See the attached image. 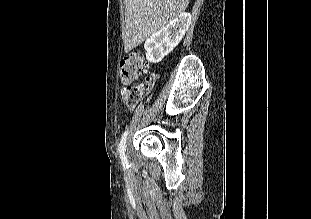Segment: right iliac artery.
I'll list each match as a JSON object with an SVG mask.
<instances>
[{"instance_id":"obj_1","label":"right iliac artery","mask_w":311,"mask_h":219,"mask_svg":"<svg viewBox=\"0 0 311 219\" xmlns=\"http://www.w3.org/2000/svg\"><path fill=\"white\" fill-rule=\"evenodd\" d=\"M127 135H128V131H125L124 134L122 135V138L119 144V154H120V158L122 160V164L124 167H128V160L125 155Z\"/></svg>"}]
</instances>
